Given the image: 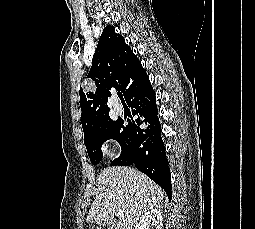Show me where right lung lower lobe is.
I'll list each match as a JSON object with an SVG mask.
<instances>
[{"mask_svg": "<svg viewBox=\"0 0 255 229\" xmlns=\"http://www.w3.org/2000/svg\"><path fill=\"white\" fill-rule=\"evenodd\" d=\"M125 100L137 118L126 126L132 142L131 155L118 165H135L161 186L171 200V175L161 137L155 92L143 67L131 77Z\"/></svg>", "mask_w": 255, "mask_h": 229, "instance_id": "obj_1", "label": "right lung lower lobe"}]
</instances>
